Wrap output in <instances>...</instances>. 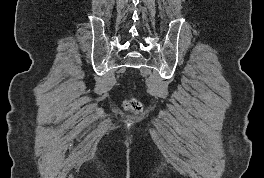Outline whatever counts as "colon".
Wrapping results in <instances>:
<instances>
[{
	"mask_svg": "<svg viewBox=\"0 0 264 178\" xmlns=\"http://www.w3.org/2000/svg\"><path fill=\"white\" fill-rule=\"evenodd\" d=\"M126 107L133 111H138L141 108L140 103L135 99H130L126 102Z\"/></svg>",
	"mask_w": 264,
	"mask_h": 178,
	"instance_id": "1",
	"label": "colon"
}]
</instances>
